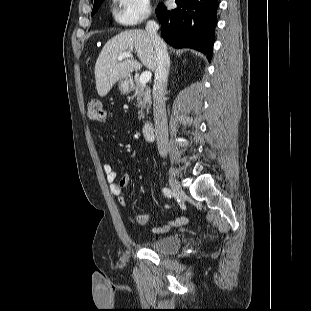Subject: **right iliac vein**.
<instances>
[{
	"instance_id": "obj_1",
	"label": "right iliac vein",
	"mask_w": 311,
	"mask_h": 311,
	"mask_svg": "<svg viewBox=\"0 0 311 311\" xmlns=\"http://www.w3.org/2000/svg\"><path fill=\"white\" fill-rule=\"evenodd\" d=\"M169 184H170L174 194L176 195V197H178L180 200H183L186 197L185 191L183 190V188L177 182L176 179H174L173 177H170L169 178Z\"/></svg>"
}]
</instances>
